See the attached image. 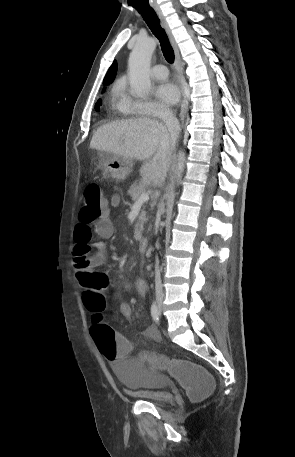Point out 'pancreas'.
<instances>
[{
  "label": "pancreas",
  "mask_w": 295,
  "mask_h": 457,
  "mask_svg": "<svg viewBox=\"0 0 295 457\" xmlns=\"http://www.w3.org/2000/svg\"><path fill=\"white\" fill-rule=\"evenodd\" d=\"M146 192V187L142 183L135 182L132 184L128 190V195H130L133 201L138 200L142 193ZM146 222V212L142 210L137 223L135 224L134 234L135 238H140L143 231L144 223Z\"/></svg>",
  "instance_id": "obj_1"
}]
</instances>
